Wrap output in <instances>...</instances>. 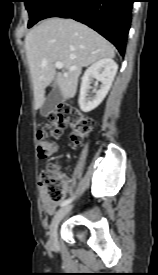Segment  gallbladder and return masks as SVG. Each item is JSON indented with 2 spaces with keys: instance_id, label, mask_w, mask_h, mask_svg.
I'll use <instances>...</instances> for the list:
<instances>
[{
  "instance_id": "obj_1",
  "label": "gallbladder",
  "mask_w": 158,
  "mask_h": 275,
  "mask_svg": "<svg viewBox=\"0 0 158 275\" xmlns=\"http://www.w3.org/2000/svg\"><path fill=\"white\" fill-rule=\"evenodd\" d=\"M63 101V94L58 85L54 81L52 84V91L46 97L41 107L40 113L42 114V116H48L50 113L54 112L57 109V106L61 104Z\"/></svg>"
}]
</instances>
